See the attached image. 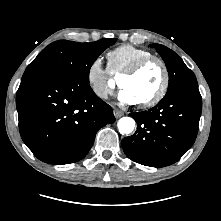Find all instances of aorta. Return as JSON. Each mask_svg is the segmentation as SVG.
Returning <instances> with one entry per match:
<instances>
[{"label": "aorta", "instance_id": "1", "mask_svg": "<svg viewBox=\"0 0 221 221\" xmlns=\"http://www.w3.org/2000/svg\"><path fill=\"white\" fill-rule=\"evenodd\" d=\"M117 126L121 134H130L135 128V121L131 117H123L118 121Z\"/></svg>", "mask_w": 221, "mask_h": 221}]
</instances>
